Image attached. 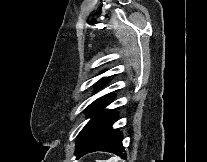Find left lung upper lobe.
I'll return each mask as SVG.
<instances>
[{
    "label": "left lung upper lobe",
    "instance_id": "5c2ea615",
    "mask_svg": "<svg viewBox=\"0 0 207 162\" xmlns=\"http://www.w3.org/2000/svg\"><path fill=\"white\" fill-rule=\"evenodd\" d=\"M104 79L100 80L99 82L103 81ZM98 82V83H99ZM102 84H99L98 88L101 87ZM111 97V94H107L97 100H95L92 104H90L86 111L89 116H91L104 102H106Z\"/></svg>",
    "mask_w": 207,
    "mask_h": 162
}]
</instances>
